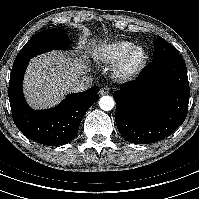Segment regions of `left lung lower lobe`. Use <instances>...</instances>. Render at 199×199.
<instances>
[{"label":"left lung lower lobe","instance_id":"0a47b994","mask_svg":"<svg viewBox=\"0 0 199 199\" xmlns=\"http://www.w3.org/2000/svg\"><path fill=\"white\" fill-rule=\"evenodd\" d=\"M190 89L179 54L152 60L138 79L121 85L113 97L120 134L131 143H154L171 135L187 116Z\"/></svg>","mask_w":199,"mask_h":199}]
</instances>
